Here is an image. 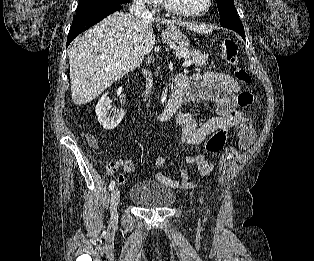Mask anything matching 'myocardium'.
Segmentation results:
<instances>
[{
    "label": "myocardium",
    "instance_id": "obj_1",
    "mask_svg": "<svg viewBox=\"0 0 314 261\" xmlns=\"http://www.w3.org/2000/svg\"><path fill=\"white\" fill-rule=\"evenodd\" d=\"M162 1L166 9H168L170 12L176 15L182 16V17H186V18H199L206 15L212 8V4H213V0H207L206 6L203 10L198 11V12H188L176 6L171 0H162Z\"/></svg>",
    "mask_w": 314,
    "mask_h": 261
}]
</instances>
